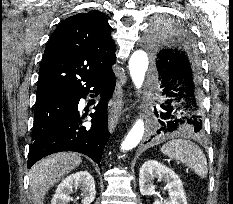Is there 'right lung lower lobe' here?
Returning a JSON list of instances; mask_svg holds the SVG:
<instances>
[{"label": "right lung lower lobe", "instance_id": "right-lung-lower-lobe-1", "mask_svg": "<svg viewBox=\"0 0 233 204\" xmlns=\"http://www.w3.org/2000/svg\"><path fill=\"white\" fill-rule=\"evenodd\" d=\"M116 78L113 71L102 76L79 93L72 96L70 114L49 133L33 141L29 148L28 168L42 157L61 151H75L100 163L105 144L110 136L107 126V101L115 89ZM93 91L102 94L101 102L91 113V127L82 126L84 115H79L78 103ZM100 167V165H99Z\"/></svg>", "mask_w": 233, "mask_h": 204}]
</instances>
